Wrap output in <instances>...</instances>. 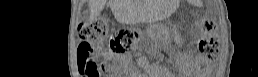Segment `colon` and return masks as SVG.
Returning a JSON list of instances; mask_svg holds the SVG:
<instances>
[{"instance_id": "obj_1", "label": "colon", "mask_w": 258, "mask_h": 77, "mask_svg": "<svg viewBox=\"0 0 258 77\" xmlns=\"http://www.w3.org/2000/svg\"><path fill=\"white\" fill-rule=\"evenodd\" d=\"M201 36L198 40V49L207 59H215L219 52V39L215 34L214 24L204 20L199 25ZM81 44L78 48V64L81 72L87 77H94L99 73V66L94 60V52L104 49L108 43V24L103 19L86 23L80 29ZM137 35L134 31L123 29L109 39V46L115 52L128 50Z\"/></svg>"}]
</instances>
